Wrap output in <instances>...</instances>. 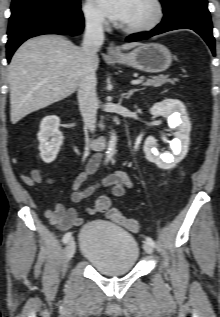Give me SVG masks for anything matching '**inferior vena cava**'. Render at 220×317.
Wrapping results in <instances>:
<instances>
[{
    "instance_id": "obj_1",
    "label": "inferior vena cava",
    "mask_w": 220,
    "mask_h": 317,
    "mask_svg": "<svg viewBox=\"0 0 220 317\" xmlns=\"http://www.w3.org/2000/svg\"><path fill=\"white\" fill-rule=\"evenodd\" d=\"M104 18L91 14L86 18V28L82 43L84 65L78 83V101L84 124L91 132L96 128L98 99L96 94V54L104 42Z\"/></svg>"
}]
</instances>
